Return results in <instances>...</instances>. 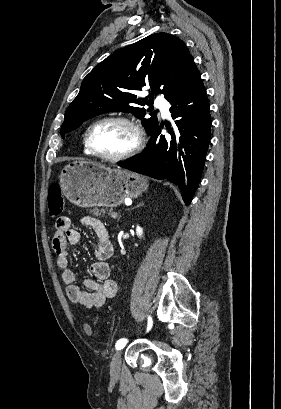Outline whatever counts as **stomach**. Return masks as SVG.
<instances>
[{"mask_svg":"<svg viewBox=\"0 0 281 409\" xmlns=\"http://www.w3.org/2000/svg\"><path fill=\"white\" fill-rule=\"evenodd\" d=\"M60 188L76 207H118L126 196L137 198L147 190V180L124 168H108L102 162L73 160L59 176Z\"/></svg>","mask_w":281,"mask_h":409,"instance_id":"1","label":"stomach"}]
</instances>
